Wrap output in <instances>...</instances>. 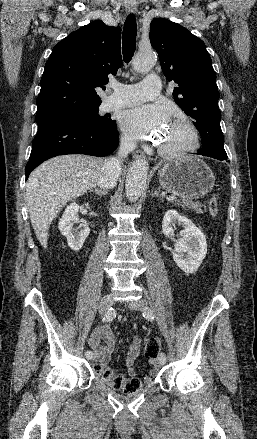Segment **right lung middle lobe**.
Returning <instances> with one entry per match:
<instances>
[{"mask_svg":"<svg viewBox=\"0 0 257 439\" xmlns=\"http://www.w3.org/2000/svg\"><path fill=\"white\" fill-rule=\"evenodd\" d=\"M98 108H99V106L80 109V110L69 112V113L54 117V118H59V117L76 118V119L87 121V122L95 124V125H109V124H111L112 123L111 119H109L105 116H100L98 114V112H99ZM50 119H52V118H50ZM37 122L39 123L41 121H37Z\"/></svg>","mask_w":257,"mask_h":439,"instance_id":"1","label":"right lung middle lobe"}]
</instances>
